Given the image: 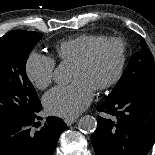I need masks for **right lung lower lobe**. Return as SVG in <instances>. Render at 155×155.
<instances>
[{
    "label": "right lung lower lobe",
    "mask_w": 155,
    "mask_h": 155,
    "mask_svg": "<svg viewBox=\"0 0 155 155\" xmlns=\"http://www.w3.org/2000/svg\"><path fill=\"white\" fill-rule=\"evenodd\" d=\"M38 116L22 122H0V155H53L60 134L67 125L62 119L48 117L35 133Z\"/></svg>",
    "instance_id": "1"
}]
</instances>
